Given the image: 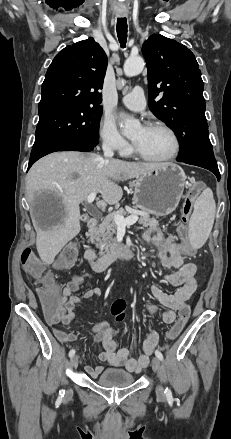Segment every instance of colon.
Instances as JSON below:
<instances>
[{"label":"colon","mask_w":231,"mask_h":439,"mask_svg":"<svg viewBox=\"0 0 231 439\" xmlns=\"http://www.w3.org/2000/svg\"><path fill=\"white\" fill-rule=\"evenodd\" d=\"M192 196L188 197L181 210V227L180 235L182 239H187V231L185 225L188 222L190 214L192 212ZM79 243L76 240L71 241L69 245L63 248L60 252L57 260V267L59 269H67L72 267L78 257ZM185 252H180V257H186V259H196L197 252L190 245L186 244ZM33 248L30 245L25 246L22 253V264L25 270L38 279L39 285H37V297L39 298V304L44 312L45 320H55L58 317L56 312L57 307L61 301V288L55 282L54 278L50 274H43V268L40 259L32 252ZM126 304L123 300H116L111 307V312L117 321H121L125 316ZM191 310L188 305L184 304L177 307V321L173 324L167 333L169 339H174L181 332L185 323L190 320Z\"/></svg>","instance_id":"colon-1"}]
</instances>
